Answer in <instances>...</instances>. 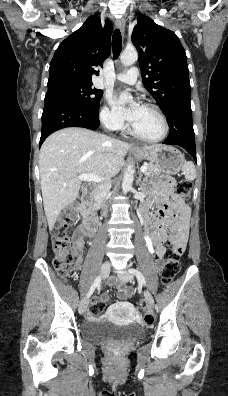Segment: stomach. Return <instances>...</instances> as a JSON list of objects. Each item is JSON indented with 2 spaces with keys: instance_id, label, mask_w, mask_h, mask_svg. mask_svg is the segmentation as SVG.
Listing matches in <instances>:
<instances>
[{
  "instance_id": "1",
  "label": "stomach",
  "mask_w": 228,
  "mask_h": 396,
  "mask_svg": "<svg viewBox=\"0 0 228 396\" xmlns=\"http://www.w3.org/2000/svg\"><path fill=\"white\" fill-rule=\"evenodd\" d=\"M134 154L139 159L149 160L169 175L177 174L185 163L184 155L172 146L161 145L153 150L134 149Z\"/></svg>"
}]
</instances>
